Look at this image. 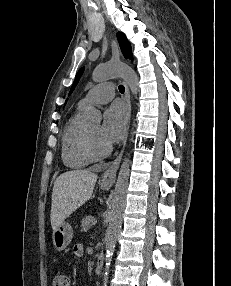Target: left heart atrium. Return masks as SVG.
Here are the masks:
<instances>
[{
	"label": "left heart atrium",
	"instance_id": "1",
	"mask_svg": "<svg viewBox=\"0 0 231 286\" xmlns=\"http://www.w3.org/2000/svg\"><path fill=\"white\" fill-rule=\"evenodd\" d=\"M127 119V111L122 104L116 103L106 110L99 129V137L106 146L117 143L123 137Z\"/></svg>",
	"mask_w": 231,
	"mask_h": 286
}]
</instances>
